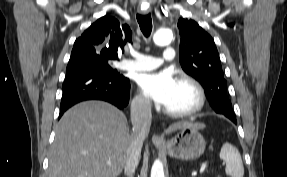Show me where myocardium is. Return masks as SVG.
Here are the masks:
<instances>
[{"mask_svg":"<svg viewBox=\"0 0 287 177\" xmlns=\"http://www.w3.org/2000/svg\"><path fill=\"white\" fill-rule=\"evenodd\" d=\"M178 82L189 86L194 91V94L196 97V103L190 109L174 111V110H169V109L164 108L163 112L166 115H168L170 117H175V118L188 117V116L195 115L196 113L201 111L203 109V107L205 106L206 93L204 91V88L196 79H194L193 77L188 76V75H181L178 78Z\"/></svg>","mask_w":287,"mask_h":177,"instance_id":"1","label":"myocardium"}]
</instances>
